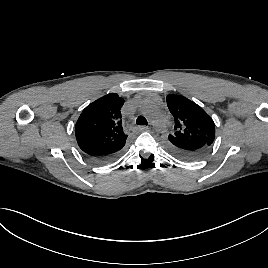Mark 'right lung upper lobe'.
Wrapping results in <instances>:
<instances>
[{"label":"right lung upper lobe","mask_w":268,"mask_h":268,"mask_svg":"<svg viewBox=\"0 0 268 268\" xmlns=\"http://www.w3.org/2000/svg\"><path fill=\"white\" fill-rule=\"evenodd\" d=\"M124 99L116 93L107 94L89 104L75 125L76 140L89 155L108 154L124 147L121 107Z\"/></svg>","instance_id":"cb5924a9"}]
</instances>
